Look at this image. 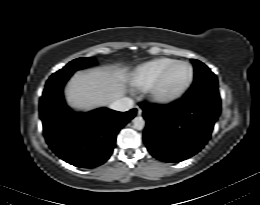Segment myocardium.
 <instances>
[{"label":"myocardium","mask_w":260,"mask_h":205,"mask_svg":"<svg viewBox=\"0 0 260 205\" xmlns=\"http://www.w3.org/2000/svg\"><path fill=\"white\" fill-rule=\"evenodd\" d=\"M184 64L188 66L190 70V77L188 82L178 91L171 94H163L160 92V87L164 82L165 78L169 74V72L177 65ZM194 68L187 61L177 60L171 65H169L162 73L157 77V79L147 88L148 98L158 104V105H169L176 101H178L181 97L185 95V93L190 89L194 81Z\"/></svg>","instance_id":"myocardium-1"}]
</instances>
